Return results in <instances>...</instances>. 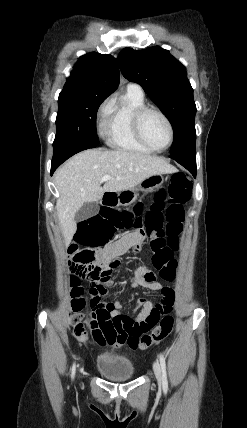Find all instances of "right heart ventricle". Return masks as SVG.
<instances>
[{"instance_id":"obj_1","label":"right heart ventricle","mask_w":247,"mask_h":428,"mask_svg":"<svg viewBox=\"0 0 247 428\" xmlns=\"http://www.w3.org/2000/svg\"><path fill=\"white\" fill-rule=\"evenodd\" d=\"M145 105L143 91L132 86H128L121 97L111 104L105 126L109 146L128 152L151 153V150L138 141L132 127L134 112Z\"/></svg>"}]
</instances>
